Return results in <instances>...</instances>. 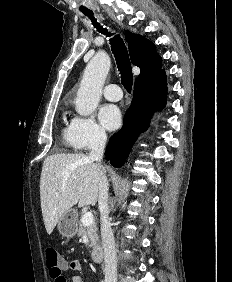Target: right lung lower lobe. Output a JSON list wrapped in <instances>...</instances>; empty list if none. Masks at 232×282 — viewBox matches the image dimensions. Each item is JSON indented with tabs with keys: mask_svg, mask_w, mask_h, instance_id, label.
I'll return each instance as SVG.
<instances>
[{
	"mask_svg": "<svg viewBox=\"0 0 232 282\" xmlns=\"http://www.w3.org/2000/svg\"><path fill=\"white\" fill-rule=\"evenodd\" d=\"M166 94L164 69L136 79L133 100L124 116L123 127L111 137L106 147V157L114 167L125 163L138 135L148 128L154 110H161L166 104Z\"/></svg>",
	"mask_w": 232,
	"mask_h": 282,
	"instance_id": "1",
	"label": "right lung lower lobe"
}]
</instances>
